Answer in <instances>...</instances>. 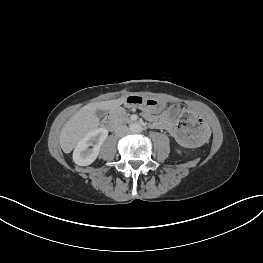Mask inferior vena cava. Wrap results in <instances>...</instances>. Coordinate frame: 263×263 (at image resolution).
Instances as JSON below:
<instances>
[{"mask_svg":"<svg viewBox=\"0 0 263 263\" xmlns=\"http://www.w3.org/2000/svg\"><path fill=\"white\" fill-rule=\"evenodd\" d=\"M115 134L119 137H124L129 134V128L126 125H120L115 129Z\"/></svg>","mask_w":263,"mask_h":263,"instance_id":"obj_1","label":"inferior vena cava"}]
</instances>
